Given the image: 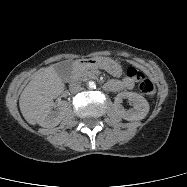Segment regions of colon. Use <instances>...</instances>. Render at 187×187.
Wrapping results in <instances>:
<instances>
[{
    "instance_id": "colon-1",
    "label": "colon",
    "mask_w": 187,
    "mask_h": 187,
    "mask_svg": "<svg viewBox=\"0 0 187 187\" xmlns=\"http://www.w3.org/2000/svg\"><path fill=\"white\" fill-rule=\"evenodd\" d=\"M126 75L135 80L138 84L140 91L148 96H152L156 92L155 84L151 79L146 77L140 70L135 67H128L126 69Z\"/></svg>"
}]
</instances>
